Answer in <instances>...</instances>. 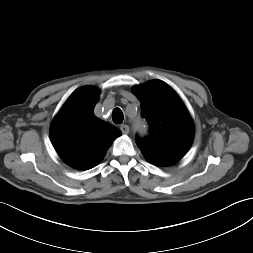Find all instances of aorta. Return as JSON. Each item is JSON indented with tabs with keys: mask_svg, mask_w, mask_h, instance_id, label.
Masks as SVG:
<instances>
[{
	"mask_svg": "<svg viewBox=\"0 0 253 253\" xmlns=\"http://www.w3.org/2000/svg\"><path fill=\"white\" fill-rule=\"evenodd\" d=\"M133 130L134 133L138 136H144L147 134L148 126L146 121L140 116L136 117L133 121Z\"/></svg>",
	"mask_w": 253,
	"mask_h": 253,
	"instance_id": "1",
	"label": "aorta"
}]
</instances>
